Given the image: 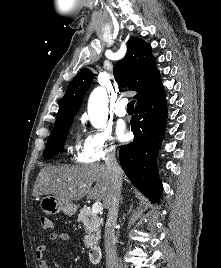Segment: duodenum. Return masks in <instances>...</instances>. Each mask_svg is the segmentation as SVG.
Listing matches in <instances>:
<instances>
[{
	"mask_svg": "<svg viewBox=\"0 0 221 268\" xmlns=\"http://www.w3.org/2000/svg\"><path fill=\"white\" fill-rule=\"evenodd\" d=\"M102 258V249L99 246H92L89 249V260L92 263H98Z\"/></svg>",
	"mask_w": 221,
	"mask_h": 268,
	"instance_id": "obj_1",
	"label": "duodenum"
}]
</instances>
